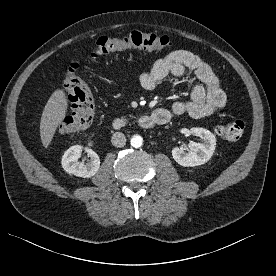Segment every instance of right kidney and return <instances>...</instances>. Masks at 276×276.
I'll return each mask as SVG.
<instances>
[{
    "label": "right kidney",
    "instance_id": "obj_1",
    "mask_svg": "<svg viewBox=\"0 0 276 276\" xmlns=\"http://www.w3.org/2000/svg\"><path fill=\"white\" fill-rule=\"evenodd\" d=\"M83 151L81 145H74L67 149L62 156V167L69 173L82 178L94 176L100 167V159L93 150L85 148L90 160L87 163L78 161Z\"/></svg>",
    "mask_w": 276,
    "mask_h": 276
}]
</instances>
